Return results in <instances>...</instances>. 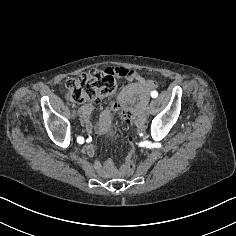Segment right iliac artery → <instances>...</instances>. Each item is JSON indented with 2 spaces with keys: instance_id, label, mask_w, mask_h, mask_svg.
<instances>
[{
  "instance_id": "82829eb1",
  "label": "right iliac artery",
  "mask_w": 236,
  "mask_h": 236,
  "mask_svg": "<svg viewBox=\"0 0 236 236\" xmlns=\"http://www.w3.org/2000/svg\"><path fill=\"white\" fill-rule=\"evenodd\" d=\"M77 142H78L79 144L84 143V138H83V137H78V138H77Z\"/></svg>"
}]
</instances>
